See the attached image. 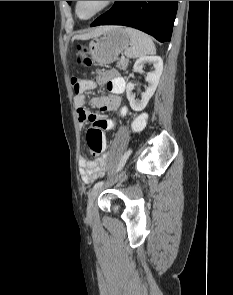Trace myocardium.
<instances>
[{
  "label": "myocardium",
  "instance_id": "1",
  "mask_svg": "<svg viewBox=\"0 0 233 295\" xmlns=\"http://www.w3.org/2000/svg\"><path fill=\"white\" fill-rule=\"evenodd\" d=\"M114 2L115 1H104L102 3V5L95 12H93L91 15H89L88 17H81L79 14V5H80L81 1H76L75 2V14L80 20H85V21L91 20L94 17L101 14L102 12L106 11L108 8H110L114 4Z\"/></svg>",
  "mask_w": 233,
  "mask_h": 295
}]
</instances>
